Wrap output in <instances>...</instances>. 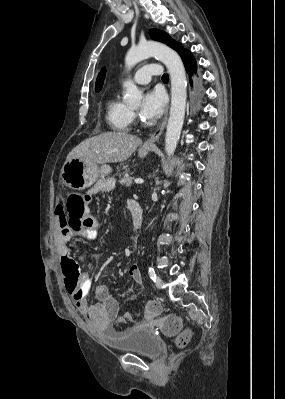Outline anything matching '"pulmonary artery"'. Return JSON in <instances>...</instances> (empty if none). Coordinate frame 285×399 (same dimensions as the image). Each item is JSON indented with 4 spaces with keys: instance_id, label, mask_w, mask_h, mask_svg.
I'll list each match as a JSON object with an SVG mask.
<instances>
[{
    "instance_id": "obj_1",
    "label": "pulmonary artery",
    "mask_w": 285,
    "mask_h": 399,
    "mask_svg": "<svg viewBox=\"0 0 285 399\" xmlns=\"http://www.w3.org/2000/svg\"><path fill=\"white\" fill-rule=\"evenodd\" d=\"M162 67L158 63H148L137 70L134 80L138 84H147L152 77H161Z\"/></svg>"
}]
</instances>
